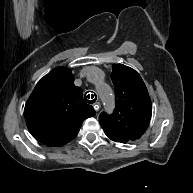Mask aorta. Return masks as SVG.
Returning <instances> with one entry per match:
<instances>
[{
  "label": "aorta",
  "instance_id": "aorta-1",
  "mask_svg": "<svg viewBox=\"0 0 193 193\" xmlns=\"http://www.w3.org/2000/svg\"><path fill=\"white\" fill-rule=\"evenodd\" d=\"M96 91L104 104L105 108L108 110H112L114 108L115 98L114 92L110 85L103 81L95 80Z\"/></svg>",
  "mask_w": 193,
  "mask_h": 193
}]
</instances>
